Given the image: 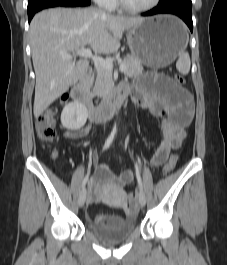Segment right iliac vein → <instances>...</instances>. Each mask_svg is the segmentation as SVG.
Instances as JSON below:
<instances>
[{"instance_id":"63e3f726","label":"right iliac vein","mask_w":227,"mask_h":265,"mask_svg":"<svg viewBox=\"0 0 227 265\" xmlns=\"http://www.w3.org/2000/svg\"><path fill=\"white\" fill-rule=\"evenodd\" d=\"M86 200V189H83L80 194H79V198H78V204L80 207H82L85 203Z\"/></svg>"}]
</instances>
